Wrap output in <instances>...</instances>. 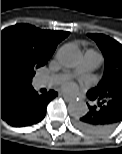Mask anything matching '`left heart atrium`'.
Wrapping results in <instances>:
<instances>
[{"mask_svg": "<svg viewBox=\"0 0 122 154\" xmlns=\"http://www.w3.org/2000/svg\"><path fill=\"white\" fill-rule=\"evenodd\" d=\"M62 87L65 91H74L76 88V86L72 82H69V81L64 82Z\"/></svg>", "mask_w": 122, "mask_h": 154, "instance_id": "left-heart-atrium-1", "label": "left heart atrium"}]
</instances>
